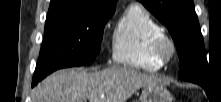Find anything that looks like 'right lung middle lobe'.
I'll return each mask as SVG.
<instances>
[{"label":"right lung middle lobe","instance_id":"right-lung-middle-lobe-1","mask_svg":"<svg viewBox=\"0 0 221 102\" xmlns=\"http://www.w3.org/2000/svg\"><path fill=\"white\" fill-rule=\"evenodd\" d=\"M110 10H73L48 13L45 37L33 79L42 80L64 67L81 66L93 61L100 51Z\"/></svg>","mask_w":221,"mask_h":102}]
</instances>
